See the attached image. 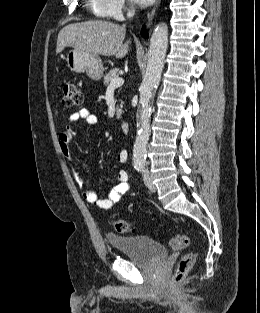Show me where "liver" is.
Returning <instances> with one entry per match:
<instances>
[{"label": "liver", "mask_w": 260, "mask_h": 313, "mask_svg": "<svg viewBox=\"0 0 260 313\" xmlns=\"http://www.w3.org/2000/svg\"><path fill=\"white\" fill-rule=\"evenodd\" d=\"M125 34V26L108 21L69 24L58 34L56 53L62 52L65 47H73L95 55H115L121 59L127 55L131 43L128 40L123 44Z\"/></svg>", "instance_id": "obj_1"}]
</instances>
